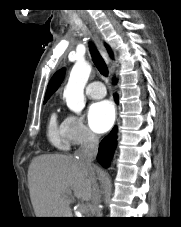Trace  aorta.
<instances>
[{
    "instance_id": "1",
    "label": "aorta",
    "mask_w": 181,
    "mask_h": 227,
    "mask_svg": "<svg viewBox=\"0 0 181 227\" xmlns=\"http://www.w3.org/2000/svg\"><path fill=\"white\" fill-rule=\"evenodd\" d=\"M91 65L86 61H77L73 66L63 97L68 108L79 114L85 107L84 87L91 73Z\"/></svg>"
}]
</instances>
